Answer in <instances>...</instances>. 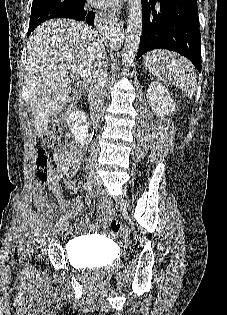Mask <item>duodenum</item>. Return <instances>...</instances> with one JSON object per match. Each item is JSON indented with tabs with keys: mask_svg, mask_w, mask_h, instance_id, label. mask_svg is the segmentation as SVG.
Returning <instances> with one entry per match:
<instances>
[{
	"mask_svg": "<svg viewBox=\"0 0 227 315\" xmlns=\"http://www.w3.org/2000/svg\"><path fill=\"white\" fill-rule=\"evenodd\" d=\"M70 121L77 143L82 146L85 145L89 130V121L86 114L79 109H75L70 114Z\"/></svg>",
	"mask_w": 227,
	"mask_h": 315,
	"instance_id": "1",
	"label": "duodenum"
}]
</instances>
